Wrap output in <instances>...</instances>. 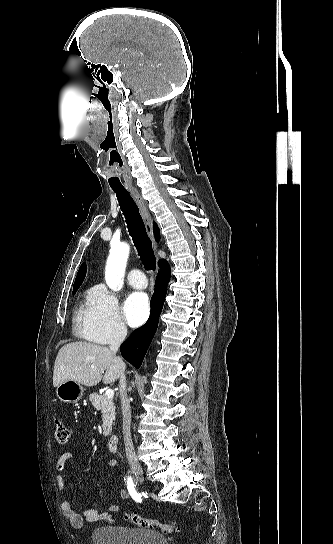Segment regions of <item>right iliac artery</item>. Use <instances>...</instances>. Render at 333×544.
Listing matches in <instances>:
<instances>
[{"label": "right iliac artery", "instance_id": "right-iliac-artery-1", "mask_svg": "<svg viewBox=\"0 0 333 544\" xmlns=\"http://www.w3.org/2000/svg\"><path fill=\"white\" fill-rule=\"evenodd\" d=\"M135 486L136 485L134 484L132 477L128 476L127 477V489H128V492L136 502H141L142 497H141L140 494L137 493V491L135 489Z\"/></svg>", "mask_w": 333, "mask_h": 544}]
</instances>
